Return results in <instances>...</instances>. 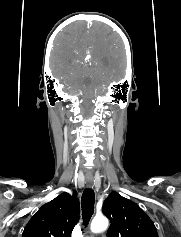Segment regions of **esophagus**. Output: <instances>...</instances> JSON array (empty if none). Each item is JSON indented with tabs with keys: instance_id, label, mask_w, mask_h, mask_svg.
Returning a JSON list of instances; mask_svg holds the SVG:
<instances>
[{
	"instance_id": "34e87169",
	"label": "esophagus",
	"mask_w": 181,
	"mask_h": 237,
	"mask_svg": "<svg viewBox=\"0 0 181 237\" xmlns=\"http://www.w3.org/2000/svg\"><path fill=\"white\" fill-rule=\"evenodd\" d=\"M86 183H87V186H88L89 188H93V186H94V180H93L92 178H88V179L86 180Z\"/></svg>"
}]
</instances>
